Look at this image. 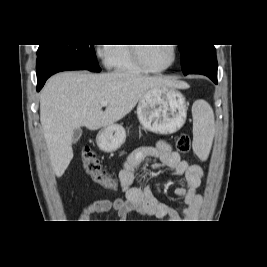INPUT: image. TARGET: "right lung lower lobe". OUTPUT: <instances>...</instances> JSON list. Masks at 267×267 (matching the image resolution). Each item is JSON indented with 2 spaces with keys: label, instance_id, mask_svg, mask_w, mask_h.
<instances>
[{
  "label": "right lung lower lobe",
  "instance_id": "98d812e1",
  "mask_svg": "<svg viewBox=\"0 0 267 267\" xmlns=\"http://www.w3.org/2000/svg\"><path fill=\"white\" fill-rule=\"evenodd\" d=\"M68 70H86L84 67L72 61L51 53L39 55L36 63L37 91H39L46 80L53 74Z\"/></svg>",
  "mask_w": 267,
  "mask_h": 267
}]
</instances>
